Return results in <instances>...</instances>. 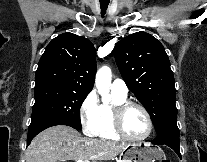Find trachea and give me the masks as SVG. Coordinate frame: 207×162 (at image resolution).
Returning a JSON list of instances; mask_svg holds the SVG:
<instances>
[{
  "label": "trachea",
  "instance_id": "3493384b",
  "mask_svg": "<svg viewBox=\"0 0 207 162\" xmlns=\"http://www.w3.org/2000/svg\"><path fill=\"white\" fill-rule=\"evenodd\" d=\"M110 0H100L101 14L102 17L105 15Z\"/></svg>",
  "mask_w": 207,
  "mask_h": 162
}]
</instances>
